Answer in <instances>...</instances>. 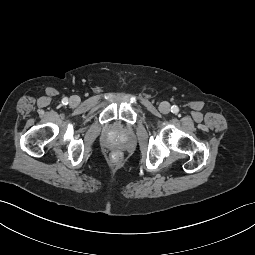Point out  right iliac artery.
<instances>
[{
	"instance_id": "right-iliac-artery-1",
	"label": "right iliac artery",
	"mask_w": 255,
	"mask_h": 255,
	"mask_svg": "<svg viewBox=\"0 0 255 255\" xmlns=\"http://www.w3.org/2000/svg\"><path fill=\"white\" fill-rule=\"evenodd\" d=\"M62 103H63V104H68V98H67V97L63 98V99H62Z\"/></svg>"
}]
</instances>
